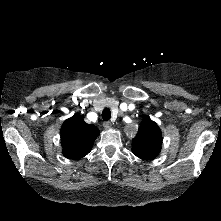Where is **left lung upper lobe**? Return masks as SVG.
Segmentation results:
<instances>
[{
	"mask_svg": "<svg viewBox=\"0 0 221 221\" xmlns=\"http://www.w3.org/2000/svg\"><path fill=\"white\" fill-rule=\"evenodd\" d=\"M162 133L158 125L144 118L137 136L132 140V152L142 159H153L161 151Z\"/></svg>",
	"mask_w": 221,
	"mask_h": 221,
	"instance_id": "obj_1",
	"label": "left lung upper lobe"
}]
</instances>
